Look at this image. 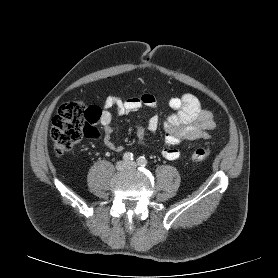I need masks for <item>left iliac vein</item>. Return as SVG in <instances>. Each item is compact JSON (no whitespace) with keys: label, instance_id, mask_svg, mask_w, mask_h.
I'll return each mask as SVG.
<instances>
[{"label":"left iliac vein","instance_id":"left-iliac-vein-1","mask_svg":"<svg viewBox=\"0 0 278 278\" xmlns=\"http://www.w3.org/2000/svg\"><path fill=\"white\" fill-rule=\"evenodd\" d=\"M136 167H137V165H136L135 162H131V163L128 164V169H130V170H133V169H135Z\"/></svg>","mask_w":278,"mask_h":278}]
</instances>
